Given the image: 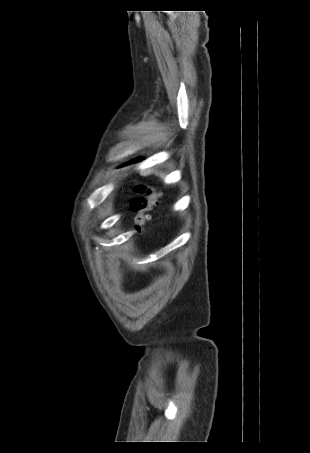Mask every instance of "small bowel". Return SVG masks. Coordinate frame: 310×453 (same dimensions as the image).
Returning a JSON list of instances; mask_svg holds the SVG:
<instances>
[{"label": "small bowel", "mask_w": 310, "mask_h": 453, "mask_svg": "<svg viewBox=\"0 0 310 453\" xmlns=\"http://www.w3.org/2000/svg\"><path fill=\"white\" fill-rule=\"evenodd\" d=\"M112 264L116 265V260L115 259L112 260Z\"/></svg>", "instance_id": "obj_1"}]
</instances>
